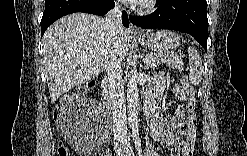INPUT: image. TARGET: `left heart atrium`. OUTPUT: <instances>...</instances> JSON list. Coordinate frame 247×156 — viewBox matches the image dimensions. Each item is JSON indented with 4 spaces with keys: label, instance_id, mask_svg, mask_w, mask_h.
I'll use <instances>...</instances> for the list:
<instances>
[{
    "label": "left heart atrium",
    "instance_id": "obj_1",
    "mask_svg": "<svg viewBox=\"0 0 247 156\" xmlns=\"http://www.w3.org/2000/svg\"><path fill=\"white\" fill-rule=\"evenodd\" d=\"M146 1L145 0H129L128 3H130L131 5H140V4H144Z\"/></svg>",
    "mask_w": 247,
    "mask_h": 156
}]
</instances>
